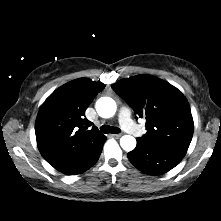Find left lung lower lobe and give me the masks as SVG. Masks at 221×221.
Instances as JSON below:
<instances>
[{
  "instance_id": "0a47b994",
  "label": "left lung lower lobe",
  "mask_w": 221,
  "mask_h": 221,
  "mask_svg": "<svg viewBox=\"0 0 221 221\" xmlns=\"http://www.w3.org/2000/svg\"><path fill=\"white\" fill-rule=\"evenodd\" d=\"M185 154L179 149L137 142L136 148L128 153V158L143 173L160 175L174 168Z\"/></svg>"
}]
</instances>
